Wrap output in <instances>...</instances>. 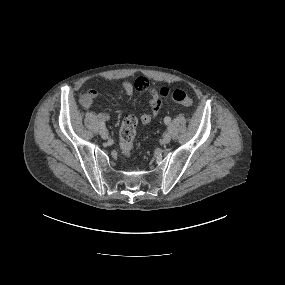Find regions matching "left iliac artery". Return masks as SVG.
<instances>
[{
	"label": "left iliac artery",
	"mask_w": 285,
	"mask_h": 285,
	"mask_svg": "<svg viewBox=\"0 0 285 285\" xmlns=\"http://www.w3.org/2000/svg\"><path fill=\"white\" fill-rule=\"evenodd\" d=\"M170 121H171L170 117H165L164 118V122H165L166 125H168L170 123Z\"/></svg>",
	"instance_id": "1"
}]
</instances>
